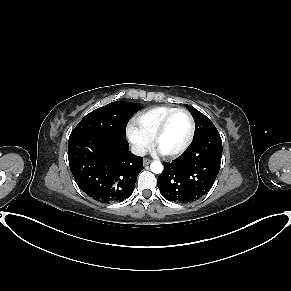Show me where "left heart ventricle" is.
I'll use <instances>...</instances> for the list:
<instances>
[{"label": "left heart ventricle", "instance_id": "obj_1", "mask_svg": "<svg viewBox=\"0 0 291 291\" xmlns=\"http://www.w3.org/2000/svg\"><path fill=\"white\" fill-rule=\"evenodd\" d=\"M190 130L189 118L184 113L175 114L160 138L157 148L162 152H172L184 145Z\"/></svg>", "mask_w": 291, "mask_h": 291}]
</instances>
